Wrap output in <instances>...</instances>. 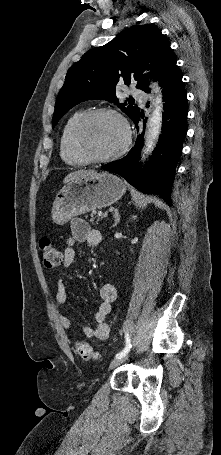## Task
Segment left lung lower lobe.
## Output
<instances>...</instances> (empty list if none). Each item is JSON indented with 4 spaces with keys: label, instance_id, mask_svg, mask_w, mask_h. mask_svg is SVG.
<instances>
[{
    "label": "left lung lower lobe",
    "instance_id": "left-lung-lower-lobe-1",
    "mask_svg": "<svg viewBox=\"0 0 221 455\" xmlns=\"http://www.w3.org/2000/svg\"><path fill=\"white\" fill-rule=\"evenodd\" d=\"M159 82L164 101L162 134L147 168L141 172L138 166L143 131L139 133L135 146L124 158L103 165L102 169L122 176L144 193L159 195L171 206V187L187 133V95L182 82V72L176 63ZM140 118H143V112H139L133 119L137 130Z\"/></svg>",
    "mask_w": 221,
    "mask_h": 455
}]
</instances>
